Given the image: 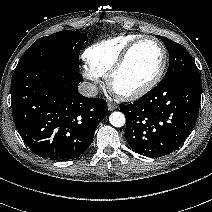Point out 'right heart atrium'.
<instances>
[{
  "mask_svg": "<svg viewBox=\"0 0 212 212\" xmlns=\"http://www.w3.org/2000/svg\"><path fill=\"white\" fill-rule=\"evenodd\" d=\"M81 71L84 78L89 82L91 90H94L95 85L101 82L102 75L89 65H83Z\"/></svg>",
  "mask_w": 212,
  "mask_h": 212,
  "instance_id": "right-heart-atrium-1",
  "label": "right heart atrium"
}]
</instances>
